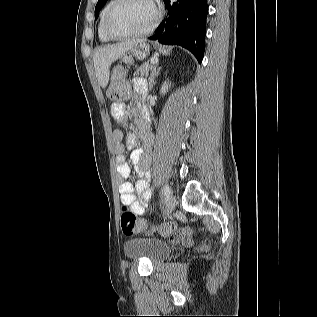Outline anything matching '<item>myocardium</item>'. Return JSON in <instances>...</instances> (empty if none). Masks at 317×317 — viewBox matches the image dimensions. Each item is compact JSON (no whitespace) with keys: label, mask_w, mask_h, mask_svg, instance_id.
Masks as SVG:
<instances>
[{"label":"myocardium","mask_w":317,"mask_h":317,"mask_svg":"<svg viewBox=\"0 0 317 317\" xmlns=\"http://www.w3.org/2000/svg\"><path fill=\"white\" fill-rule=\"evenodd\" d=\"M123 1L124 0H114L113 4L110 6V8L108 9V11L106 13L105 21H104V30H105L106 35L110 39L125 40V39L138 38V37L148 35L156 28V26L159 23L160 18H161V10H160L156 0H148V2H150L154 8V16H153V19L150 22V24L145 29H143L137 33H132V34L119 35V34L114 33L110 27V21H111V18L113 16L115 10Z\"/></svg>","instance_id":"myocardium-1"}]
</instances>
